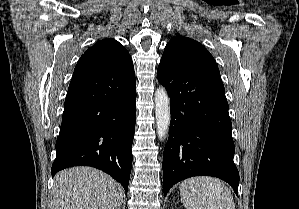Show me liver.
<instances>
[{
  "instance_id": "liver-1",
  "label": "liver",
  "mask_w": 299,
  "mask_h": 209,
  "mask_svg": "<svg viewBox=\"0 0 299 209\" xmlns=\"http://www.w3.org/2000/svg\"><path fill=\"white\" fill-rule=\"evenodd\" d=\"M122 186L109 175L91 167H74L54 178L52 209H120Z\"/></svg>"
}]
</instances>
